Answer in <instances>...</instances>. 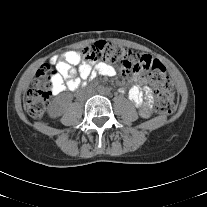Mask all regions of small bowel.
Here are the masks:
<instances>
[{
	"label": "small bowel",
	"instance_id": "obj_1",
	"mask_svg": "<svg viewBox=\"0 0 207 207\" xmlns=\"http://www.w3.org/2000/svg\"><path fill=\"white\" fill-rule=\"evenodd\" d=\"M50 63L56 66V74L52 79V91L54 95L66 91H77L84 87L86 81L96 76L113 77L116 75L115 67L108 62H99L93 65L90 61L84 60L80 51L70 50L62 55V59L53 56ZM131 73L132 85L128 90V96L138 108L142 117L151 115V96L148 88H142L146 82L145 78L139 73ZM124 91V89H121Z\"/></svg>",
	"mask_w": 207,
	"mask_h": 207
}]
</instances>
